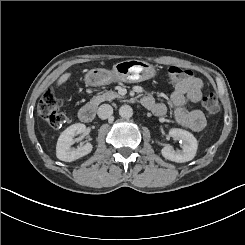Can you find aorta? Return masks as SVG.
Segmentation results:
<instances>
[{
    "mask_svg": "<svg viewBox=\"0 0 245 245\" xmlns=\"http://www.w3.org/2000/svg\"><path fill=\"white\" fill-rule=\"evenodd\" d=\"M119 115L122 118H126V119L131 118L133 115V109L129 105H123L119 109Z\"/></svg>",
    "mask_w": 245,
    "mask_h": 245,
    "instance_id": "1",
    "label": "aorta"
}]
</instances>
